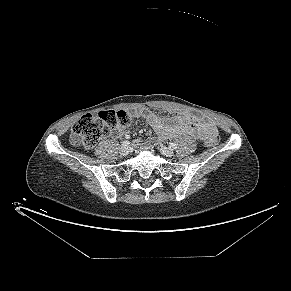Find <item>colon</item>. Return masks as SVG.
I'll return each mask as SVG.
<instances>
[{"label":"colon","mask_w":291,"mask_h":291,"mask_svg":"<svg viewBox=\"0 0 291 291\" xmlns=\"http://www.w3.org/2000/svg\"><path fill=\"white\" fill-rule=\"evenodd\" d=\"M132 121V116L125 110L103 111L97 115L86 114L80 117L72 126L71 141L86 150L92 149L96 143L108 136L118 127H126ZM217 132H212L205 137L208 146L218 143Z\"/></svg>","instance_id":"1"}]
</instances>
